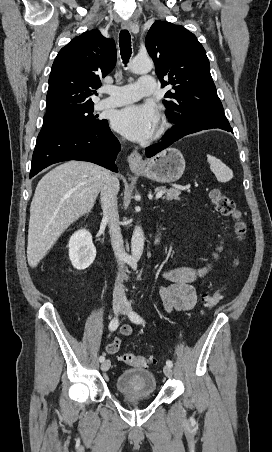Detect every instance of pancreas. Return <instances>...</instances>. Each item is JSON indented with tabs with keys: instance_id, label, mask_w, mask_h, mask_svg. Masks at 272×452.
Masks as SVG:
<instances>
[{
	"instance_id": "cf45deb5",
	"label": "pancreas",
	"mask_w": 272,
	"mask_h": 452,
	"mask_svg": "<svg viewBox=\"0 0 272 452\" xmlns=\"http://www.w3.org/2000/svg\"><path fill=\"white\" fill-rule=\"evenodd\" d=\"M155 191L156 192L165 191L166 195L163 197V199H166L168 201H170V200H179V195L181 193V191L179 189H176V188H172V189L166 190L163 187H158V188L155 189Z\"/></svg>"
}]
</instances>
